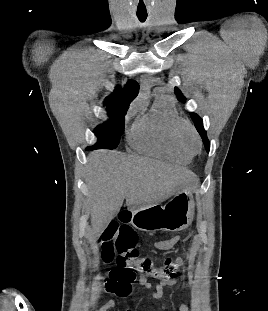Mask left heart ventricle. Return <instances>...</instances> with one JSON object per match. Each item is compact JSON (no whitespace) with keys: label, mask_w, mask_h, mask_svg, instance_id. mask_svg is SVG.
I'll list each match as a JSON object with an SVG mask.
<instances>
[{"label":"left heart ventricle","mask_w":268,"mask_h":311,"mask_svg":"<svg viewBox=\"0 0 268 311\" xmlns=\"http://www.w3.org/2000/svg\"><path fill=\"white\" fill-rule=\"evenodd\" d=\"M186 142L191 148H196V142L190 134H186Z\"/></svg>","instance_id":"1"}]
</instances>
